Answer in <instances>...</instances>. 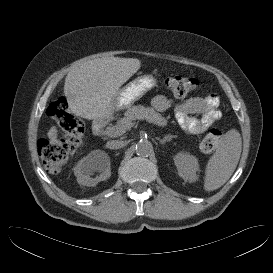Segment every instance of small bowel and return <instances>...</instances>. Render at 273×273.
<instances>
[{
    "label": "small bowel",
    "instance_id": "1",
    "mask_svg": "<svg viewBox=\"0 0 273 273\" xmlns=\"http://www.w3.org/2000/svg\"><path fill=\"white\" fill-rule=\"evenodd\" d=\"M219 104V96L215 93L205 97H194L177 105H173L163 95H158L152 100V106L159 112L173 108L178 123L184 130L194 135L204 133L221 119Z\"/></svg>",
    "mask_w": 273,
    "mask_h": 273
}]
</instances>
